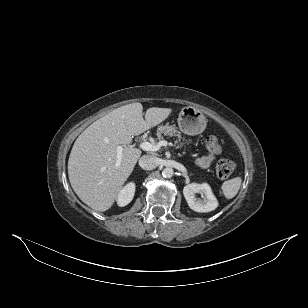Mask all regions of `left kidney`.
<instances>
[{
	"instance_id": "obj_1",
	"label": "left kidney",
	"mask_w": 308,
	"mask_h": 308,
	"mask_svg": "<svg viewBox=\"0 0 308 308\" xmlns=\"http://www.w3.org/2000/svg\"><path fill=\"white\" fill-rule=\"evenodd\" d=\"M196 193H202L203 199H197ZM183 194L188 206L196 212H211L218 206L217 199L213 195L211 187L207 183L188 184L183 188Z\"/></svg>"
}]
</instances>
